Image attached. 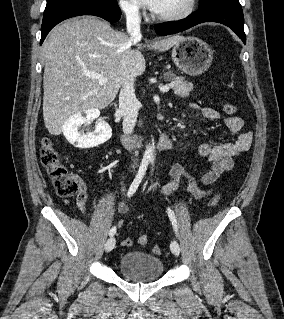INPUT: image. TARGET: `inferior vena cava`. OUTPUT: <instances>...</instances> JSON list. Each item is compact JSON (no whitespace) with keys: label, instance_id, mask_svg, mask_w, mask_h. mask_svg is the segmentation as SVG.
I'll use <instances>...</instances> for the list:
<instances>
[{"label":"inferior vena cava","instance_id":"1","mask_svg":"<svg viewBox=\"0 0 284 319\" xmlns=\"http://www.w3.org/2000/svg\"><path fill=\"white\" fill-rule=\"evenodd\" d=\"M140 16L137 9L126 10V27L131 40L141 38ZM139 110V101L135 95L134 79H128L119 94L118 112L123 116V132L131 134L135 127Z\"/></svg>","mask_w":284,"mask_h":319}]
</instances>
